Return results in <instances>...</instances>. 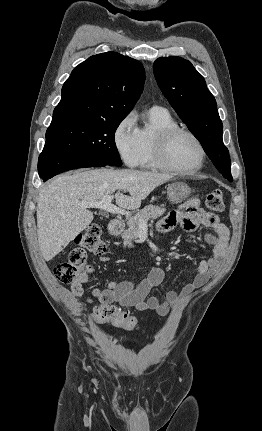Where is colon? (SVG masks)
<instances>
[{
  "instance_id": "5ec220e1",
  "label": "colon",
  "mask_w": 262,
  "mask_h": 431,
  "mask_svg": "<svg viewBox=\"0 0 262 431\" xmlns=\"http://www.w3.org/2000/svg\"><path fill=\"white\" fill-rule=\"evenodd\" d=\"M207 209L212 213L224 211V197L219 189L211 190L205 199ZM195 209L190 208V213ZM100 227L91 224L88 229L76 238L75 247L71 248L65 260L56 266L55 275L57 279L65 285L75 287L82 283L92 272V266L87 262L84 251H89L95 255H103L106 245L101 239ZM99 322H110L114 327L124 330H134L137 328V321L134 317L125 312L110 310L108 314H96Z\"/></svg>"
}]
</instances>
